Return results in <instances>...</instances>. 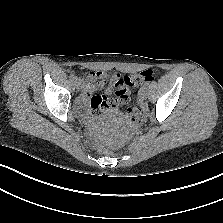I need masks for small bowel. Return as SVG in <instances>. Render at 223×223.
Wrapping results in <instances>:
<instances>
[{
    "label": "small bowel",
    "mask_w": 223,
    "mask_h": 223,
    "mask_svg": "<svg viewBox=\"0 0 223 223\" xmlns=\"http://www.w3.org/2000/svg\"><path fill=\"white\" fill-rule=\"evenodd\" d=\"M117 74H109L106 72H93L89 76V84L86 87V91L83 96L82 102L85 103L88 100L91 101L92 111L86 116L88 121H93L100 113H116L119 106L123 105L115 95L114 98L110 99L109 94L115 89L112 83H108L105 89V95L92 96L91 93L97 89L105 87L109 76H115Z\"/></svg>",
    "instance_id": "1"
}]
</instances>
